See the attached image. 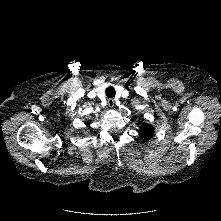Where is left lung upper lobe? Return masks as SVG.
Masks as SVG:
<instances>
[{"label": "left lung upper lobe", "mask_w": 221, "mask_h": 221, "mask_svg": "<svg viewBox=\"0 0 221 221\" xmlns=\"http://www.w3.org/2000/svg\"><path fill=\"white\" fill-rule=\"evenodd\" d=\"M140 129H141L140 134L142 136H145V138L147 139H149L152 136V132L154 131V128L147 124L142 125Z\"/></svg>", "instance_id": "5c2ea615"}]
</instances>
